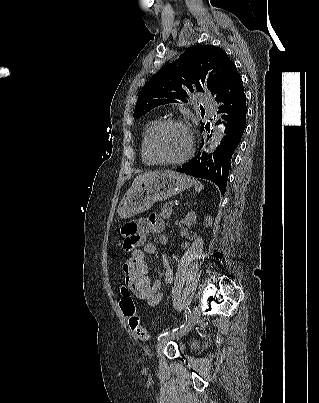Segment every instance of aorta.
<instances>
[{
    "label": "aorta",
    "mask_w": 319,
    "mask_h": 403,
    "mask_svg": "<svg viewBox=\"0 0 319 403\" xmlns=\"http://www.w3.org/2000/svg\"><path fill=\"white\" fill-rule=\"evenodd\" d=\"M224 135H225L224 124L222 123L219 127H217L213 131L212 136L207 144L206 152L209 153L212 150H214L218 146V144L221 142Z\"/></svg>",
    "instance_id": "obj_1"
}]
</instances>
